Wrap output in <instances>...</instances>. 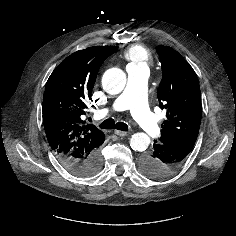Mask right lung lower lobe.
Segmentation results:
<instances>
[{"mask_svg":"<svg viewBox=\"0 0 236 236\" xmlns=\"http://www.w3.org/2000/svg\"><path fill=\"white\" fill-rule=\"evenodd\" d=\"M60 161L72 174L88 177L100 170L102 166V155L100 149H97L86 160L60 159Z\"/></svg>","mask_w":236,"mask_h":236,"instance_id":"1","label":"right lung lower lobe"}]
</instances>
